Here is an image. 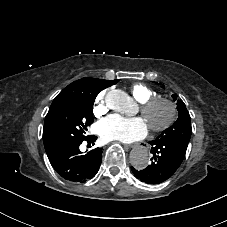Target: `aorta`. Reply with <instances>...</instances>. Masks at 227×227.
<instances>
[{
  "label": "aorta",
  "mask_w": 227,
  "mask_h": 227,
  "mask_svg": "<svg viewBox=\"0 0 227 227\" xmlns=\"http://www.w3.org/2000/svg\"><path fill=\"white\" fill-rule=\"evenodd\" d=\"M126 94L120 90H112L106 96L109 106L113 105L119 98L125 97ZM149 153L144 147L134 149L130 154L131 165L138 169H145L149 164Z\"/></svg>",
  "instance_id": "aorta-1"
}]
</instances>
